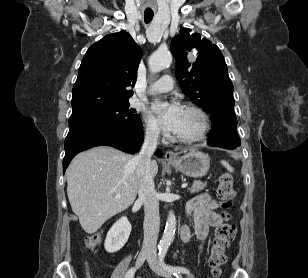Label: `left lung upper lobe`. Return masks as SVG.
<instances>
[{
	"label": "left lung upper lobe",
	"instance_id": "1",
	"mask_svg": "<svg viewBox=\"0 0 308 278\" xmlns=\"http://www.w3.org/2000/svg\"><path fill=\"white\" fill-rule=\"evenodd\" d=\"M189 32L181 29L171 42L182 91L210 114L223 107L234 108V87L223 54L211 41Z\"/></svg>",
	"mask_w": 308,
	"mask_h": 278
}]
</instances>
